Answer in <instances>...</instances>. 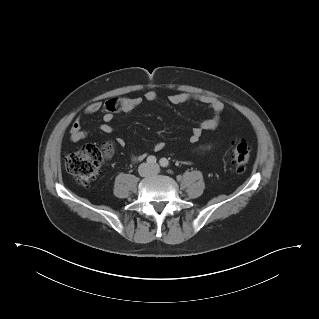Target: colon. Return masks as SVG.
<instances>
[{
	"label": "colon",
	"instance_id": "1",
	"mask_svg": "<svg viewBox=\"0 0 319 319\" xmlns=\"http://www.w3.org/2000/svg\"><path fill=\"white\" fill-rule=\"evenodd\" d=\"M109 104H118L117 98ZM111 145L106 143L102 147L85 145L77 151L67 154L64 158V166L83 186L90 185L98 176L103 161L109 157ZM231 166L236 172H243L250 158V147L243 140L233 142L230 149Z\"/></svg>",
	"mask_w": 319,
	"mask_h": 319
}]
</instances>
